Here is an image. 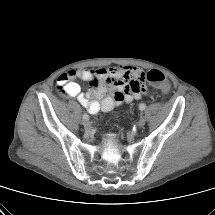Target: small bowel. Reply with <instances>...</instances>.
<instances>
[{"label":"small bowel","instance_id":"c3829d8e","mask_svg":"<svg viewBox=\"0 0 215 215\" xmlns=\"http://www.w3.org/2000/svg\"><path fill=\"white\" fill-rule=\"evenodd\" d=\"M89 82L84 93L76 80ZM144 72L135 66L121 65L111 68L70 70L58 78L64 92L75 97L91 114L110 111L113 108L139 100L146 92ZM134 85L138 88L135 89Z\"/></svg>","mask_w":215,"mask_h":215}]
</instances>
